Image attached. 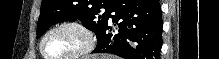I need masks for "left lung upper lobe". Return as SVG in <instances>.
<instances>
[{"mask_svg": "<svg viewBox=\"0 0 219 59\" xmlns=\"http://www.w3.org/2000/svg\"><path fill=\"white\" fill-rule=\"evenodd\" d=\"M114 0H42L37 25L39 38L51 25L68 20H81L83 26L93 31L97 39L108 21Z\"/></svg>", "mask_w": 219, "mask_h": 59, "instance_id": "1", "label": "left lung upper lobe"}]
</instances>
